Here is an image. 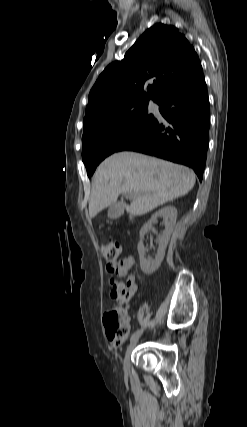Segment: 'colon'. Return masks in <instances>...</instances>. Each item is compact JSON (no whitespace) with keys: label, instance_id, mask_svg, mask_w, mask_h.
Returning <instances> with one entry per match:
<instances>
[{"label":"colon","instance_id":"colon-1","mask_svg":"<svg viewBox=\"0 0 247 427\" xmlns=\"http://www.w3.org/2000/svg\"><path fill=\"white\" fill-rule=\"evenodd\" d=\"M103 258L109 263H115L122 252V246L118 242H108L100 248ZM104 326L108 340L115 346L122 345L130 334V326L126 310L117 306L104 315Z\"/></svg>","mask_w":247,"mask_h":427}]
</instances>
